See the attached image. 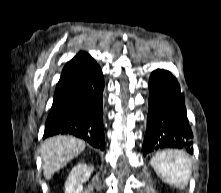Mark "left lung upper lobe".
Returning a JSON list of instances; mask_svg holds the SVG:
<instances>
[{"label":"left lung upper lobe","mask_w":221,"mask_h":193,"mask_svg":"<svg viewBox=\"0 0 221 193\" xmlns=\"http://www.w3.org/2000/svg\"><path fill=\"white\" fill-rule=\"evenodd\" d=\"M164 116H165L166 119H168V123H171V124H172L171 116H170V114H169L168 111H165V112H164Z\"/></svg>","instance_id":"obj_1"}]
</instances>
